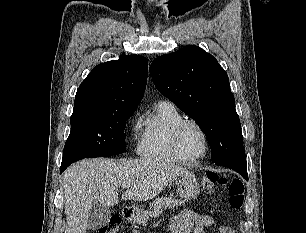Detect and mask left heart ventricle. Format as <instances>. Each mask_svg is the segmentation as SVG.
Instances as JSON below:
<instances>
[{"label": "left heart ventricle", "mask_w": 306, "mask_h": 233, "mask_svg": "<svg viewBox=\"0 0 306 233\" xmlns=\"http://www.w3.org/2000/svg\"><path fill=\"white\" fill-rule=\"evenodd\" d=\"M180 148L183 154L189 158L200 156L204 151V139L200 131L192 126H186L180 135Z\"/></svg>", "instance_id": "obj_1"}]
</instances>
